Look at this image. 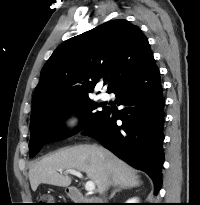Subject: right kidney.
<instances>
[{
	"label": "right kidney",
	"mask_w": 200,
	"mask_h": 205,
	"mask_svg": "<svg viewBox=\"0 0 200 205\" xmlns=\"http://www.w3.org/2000/svg\"><path fill=\"white\" fill-rule=\"evenodd\" d=\"M127 203H139V199L138 198H131L127 201Z\"/></svg>",
	"instance_id": "right-kidney-1"
}]
</instances>
